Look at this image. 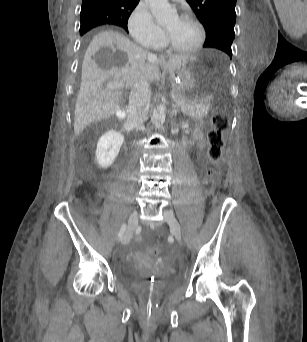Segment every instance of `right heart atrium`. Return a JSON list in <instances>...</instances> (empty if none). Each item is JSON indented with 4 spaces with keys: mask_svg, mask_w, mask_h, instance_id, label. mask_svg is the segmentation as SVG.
<instances>
[{
    "mask_svg": "<svg viewBox=\"0 0 307 342\" xmlns=\"http://www.w3.org/2000/svg\"><path fill=\"white\" fill-rule=\"evenodd\" d=\"M128 31L134 42L143 47H158L163 42V34L155 25L148 9L137 7L129 16Z\"/></svg>",
    "mask_w": 307,
    "mask_h": 342,
    "instance_id": "d8ad5b80",
    "label": "right heart atrium"
}]
</instances>
